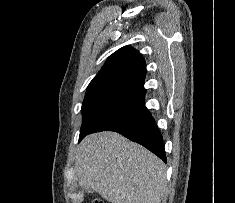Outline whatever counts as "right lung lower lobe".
<instances>
[{
	"label": "right lung lower lobe",
	"instance_id": "98d812e1",
	"mask_svg": "<svg viewBox=\"0 0 235 203\" xmlns=\"http://www.w3.org/2000/svg\"><path fill=\"white\" fill-rule=\"evenodd\" d=\"M100 131L118 132L166 162L162 135L145 107L144 97L104 119L86 135Z\"/></svg>",
	"mask_w": 235,
	"mask_h": 203
}]
</instances>
